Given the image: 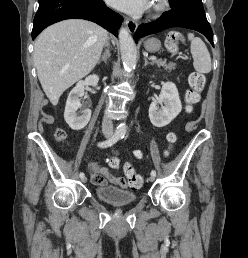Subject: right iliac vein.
<instances>
[{"instance_id":"right-iliac-vein-1","label":"right iliac vein","mask_w":248,"mask_h":258,"mask_svg":"<svg viewBox=\"0 0 248 258\" xmlns=\"http://www.w3.org/2000/svg\"><path fill=\"white\" fill-rule=\"evenodd\" d=\"M81 181H82L83 183H85V182L87 181V178H86V177H83V178L81 179Z\"/></svg>"}]
</instances>
